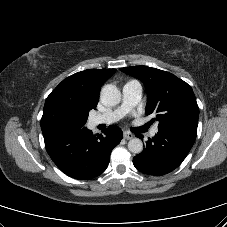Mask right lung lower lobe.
Wrapping results in <instances>:
<instances>
[{
	"label": "right lung lower lobe",
	"mask_w": 227,
	"mask_h": 227,
	"mask_svg": "<svg viewBox=\"0 0 227 227\" xmlns=\"http://www.w3.org/2000/svg\"><path fill=\"white\" fill-rule=\"evenodd\" d=\"M104 135H94L87 128L43 134L47 153L56 166L74 179H92L102 174L109 164L112 149L123 132L111 125Z\"/></svg>",
	"instance_id": "1"
}]
</instances>
